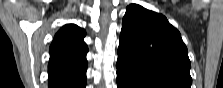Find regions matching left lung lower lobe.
<instances>
[{
    "instance_id": "left-lung-lower-lobe-1",
    "label": "left lung lower lobe",
    "mask_w": 223,
    "mask_h": 88,
    "mask_svg": "<svg viewBox=\"0 0 223 88\" xmlns=\"http://www.w3.org/2000/svg\"><path fill=\"white\" fill-rule=\"evenodd\" d=\"M117 66V86L118 88H156L150 86L136 74Z\"/></svg>"
}]
</instances>
